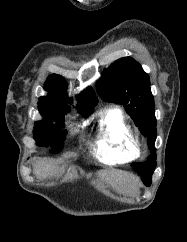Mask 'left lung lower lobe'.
Wrapping results in <instances>:
<instances>
[{
  "label": "left lung lower lobe",
  "instance_id": "obj_1",
  "mask_svg": "<svg viewBox=\"0 0 187 242\" xmlns=\"http://www.w3.org/2000/svg\"><path fill=\"white\" fill-rule=\"evenodd\" d=\"M142 180H143V182H144V184L146 186H150V184H151V177L150 178H143Z\"/></svg>",
  "mask_w": 187,
  "mask_h": 242
}]
</instances>
